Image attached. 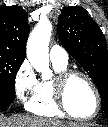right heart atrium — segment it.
I'll list each match as a JSON object with an SVG mask.
<instances>
[{
	"mask_svg": "<svg viewBox=\"0 0 108 127\" xmlns=\"http://www.w3.org/2000/svg\"><path fill=\"white\" fill-rule=\"evenodd\" d=\"M39 81L31 64L25 60L14 77L15 94L19 101L28 104L37 91Z\"/></svg>",
	"mask_w": 108,
	"mask_h": 127,
	"instance_id": "right-heart-atrium-1",
	"label": "right heart atrium"
}]
</instances>
